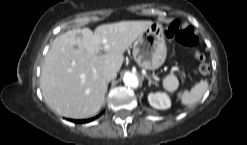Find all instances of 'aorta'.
I'll return each mask as SVG.
<instances>
[{"instance_id": "obj_1", "label": "aorta", "mask_w": 247, "mask_h": 145, "mask_svg": "<svg viewBox=\"0 0 247 145\" xmlns=\"http://www.w3.org/2000/svg\"><path fill=\"white\" fill-rule=\"evenodd\" d=\"M123 82L125 83V85L132 88H137L139 84L138 78L131 72H126L124 74Z\"/></svg>"}]
</instances>
